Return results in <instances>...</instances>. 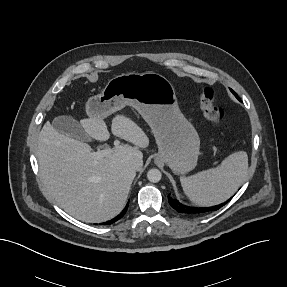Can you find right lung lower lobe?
Returning <instances> with one entry per match:
<instances>
[{
  "label": "right lung lower lobe",
  "instance_id": "1",
  "mask_svg": "<svg viewBox=\"0 0 287 287\" xmlns=\"http://www.w3.org/2000/svg\"><path fill=\"white\" fill-rule=\"evenodd\" d=\"M127 207L128 206H126L125 209L117 217H115L114 219H112V220H110V221H108V222H106L104 224H112V223L116 222L117 220H119L120 218H122L125 215L126 211H127Z\"/></svg>",
  "mask_w": 287,
  "mask_h": 287
}]
</instances>
